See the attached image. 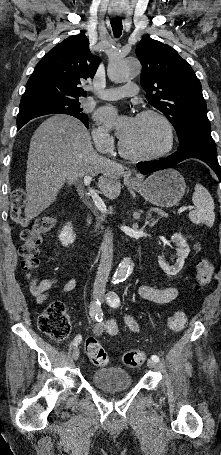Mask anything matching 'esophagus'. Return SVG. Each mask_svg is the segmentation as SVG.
Segmentation results:
<instances>
[{
  "label": "esophagus",
  "instance_id": "34e87169",
  "mask_svg": "<svg viewBox=\"0 0 221 455\" xmlns=\"http://www.w3.org/2000/svg\"><path fill=\"white\" fill-rule=\"evenodd\" d=\"M129 181L134 183V182H137V179L135 177H130Z\"/></svg>",
  "mask_w": 221,
  "mask_h": 455
}]
</instances>
